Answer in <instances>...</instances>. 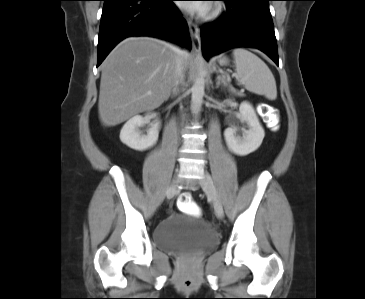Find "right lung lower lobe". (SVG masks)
Wrapping results in <instances>:
<instances>
[{"instance_id":"right-lung-lower-lobe-1","label":"right lung lower lobe","mask_w":365,"mask_h":299,"mask_svg":"<svg viewBox=\"0 0 365 299\" xmlns=\"http://www.w3.org/2000/svg\"><path fill=\"white\" fill-rule=\"evenodd\" d=\"M97 67L113 47L129 36H152L191 49L186 21L173 0H103ZM177 22L179 28H173Z\"/></svg>"}]
</instances>
